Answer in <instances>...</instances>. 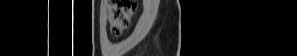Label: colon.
I'll return each mask as SVG.
<instances>
[{
	"label": "colon",
	"instance_id": "1",
	"mask_svg": "<svg viewBox=\"0 0 297 56\" xmlns=\"http://www.w3.org/2000/svg\"><path fill=\"white\" fill-rule=\"evenodd\" d=\"M136 9L133 0H112L108 6L110 30L114 36H119L127 28L130 18Z\"/></svg>",
	"mask_w": 297,
	"mask_h": 56
}]
</instances>
